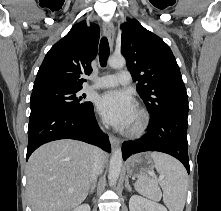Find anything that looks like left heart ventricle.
Returning a JSON list of instances; mask_svg holds the SVG:
<instances>
[{
  "instance_id": "b2bd125f",
  "label": "left heart ventricle",
  "mask_w": 221,
  "mask_h": 211,
  "mask_svg": "<svg viewBox=\"0 0 221 211\" xmlns=\"http://www.w3.org/2000/svg\"><path fill=\"white\" fill-rule=\"evenodd\" d=\"M135 123H136V116H135V114H134V116H133V118H132L131 123L129 124V126H132V125H134Z\"/></svg>"
}]
</instances>
